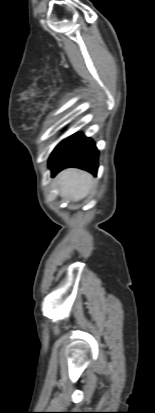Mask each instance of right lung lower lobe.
<instances>
[{
  "label": "right lung lower lobe",
  "mask_w": 155,
  "mask_h": 413,
  "mask_svg": "<svg viewBox=\"0 0 155 413\" xmlns=\"http://www.w3.org/2000/svg\"><path fill=\"white\" fill-rule=\"evenodd\" d=\"M99 152L94 142L82 133L63 140L49 159L52 176L67 167H77L96 175Z\"/></svg>",
  "instance_id": "obj_1"
}]
</instances>
